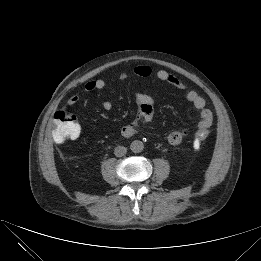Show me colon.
Listing matches in <instances>:
<instances>
[{"instance_id": "5ec220e1", "label": "colon", "mask_w": 261, "mask_h": 261, "mask_svg": "<svg viewBox=\"0 0 261 261\" xmlns=\"http://www.w3.org/2000/svg\"><path fill=\"white\" fill-rule=\"evenodd\" d=\"M79 134L80 126L75 116L64 109L55 113L52 137L56 143H62L68 139H74L78 137ZM209 135V128L199 129L194 136V147L199 148Z\"/></svg>"}]
</instances>
